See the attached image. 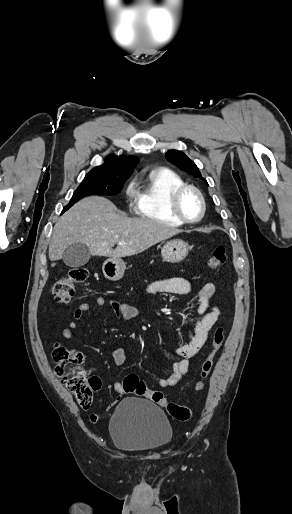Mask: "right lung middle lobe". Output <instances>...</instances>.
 Listing matches in <instances>:
<instances>
[{"label": "right lung middle lobe", "instance_id": "dd1d6c3e", "mask_svg": "<svg viewBox=\"0 0 292 514\" xmlns=\"http://www.w3.org/2000/svg\"><path fill=\"white\" fill-rule=\"evenodd\" d=\"M126 179H106L86 176L75 190L69 204L63 212L69 209L79 199L89 195H117L122 190Z\"/></svg>", "mask_w": 292, "mask_h": 514}]
</instances>
